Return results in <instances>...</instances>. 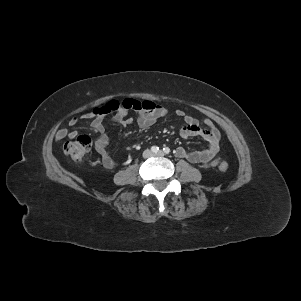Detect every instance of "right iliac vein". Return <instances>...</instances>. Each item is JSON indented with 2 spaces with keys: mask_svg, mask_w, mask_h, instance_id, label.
Returning a JSON list of instances; mask_svg holds the SVG:
<instances>
[{
  "mask_svg": "<svg viewBox=\"0 0 301 301\" xmlns=\"http://www.w3.org/2000/svg\"><path fill=\"white\" fill-rule=\"evenodd\" d=\"M152 155V153L150 152V151H145V153H144V156L145 157H149V156H151Z\"/></svg>",
  "mask_w": 301,
  "mask_h": 301,
  "instance_id": "right-iliac-vein-1",
  "label": "right iliac vein"
}]
</instances>
